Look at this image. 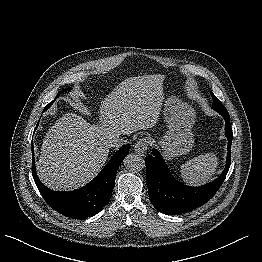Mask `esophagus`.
I'll use <instances>...</instances> for the list:
<instances>
[{
    "mask_svg": "<svg viewBox=\"0 0 262 262\" xmlns=\"http://www.w3.org/2000/svg\"><path fill=\"white\" fill-rule=\"evenodd\" d=\"M148 146H149L148 139L147 138H141L135 143L134 150H135L136 153H138L140 155H144L148 150Z\"/></svg>",
    "mask_w": 262,
    "mask_h": 262,
    "instance_id": "esophagus-1",
    "label": "esophagus"
}]
</instances>
